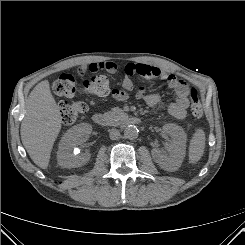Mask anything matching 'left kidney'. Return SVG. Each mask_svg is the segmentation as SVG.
<instances>
[{
  "label": "left kidney",
  "instance_id": "5707ae66",
  "mask_svg": "<svg viewBox=\"0 0 245 245\" xmlns=\"http://www.w3.org/2000/svg\"><path fill=\"white\" fill-rule=\"evenodd\" d=\"M163 131L172 139L168 147V154L164 150L153 149L152 156L155 162L165 170H174L178 168L186 153V133L184 130L175 124H166L163 126Z\"/></svg>",
  "mask_w": 245,
  "mask_h": 245
}]
</instances>
